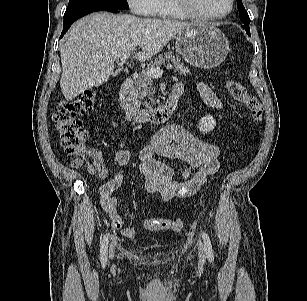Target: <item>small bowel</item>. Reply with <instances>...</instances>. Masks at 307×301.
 Returning <instances> with one entry per match:
<instances>
[{
	"label": "small bowel",
	"mask_w": 307,
	"mask_h": 301,
	"mask_svg": "<svg viewBox=\"0 0 307 301\" xmlns=\"http://www.w3.org/2000/svg\"><path fill=\"white\" fill-rule=\"evenodd\" d=\"M175 87L184 90L182 83H177ZM197 89L209 109L220 108L219 99L206 84L198 83ZM130 120L127 116L126 121ZM94 153L93 163L98 177L105 180L100 188L101 207L114 229L127 238H134L136 230L126 226L117 212L118 190L124 180V169L131 154L124 148L116 151L113 162L117 171L113 177L108 178V169L102 155L99 152ZM219 153V147L215 143L195 138L180 125H166L154 134L150 144L144 146L139 153V171L145 178L147 193L159 196L164 202L175 197L193 195L205 183L207 176L219 170ZM159 157L183 163L180 176L176 177L175 169L160 161Z\"/></svg>",
	"instance_id": "small-bowel-1"
}]
</instances>
